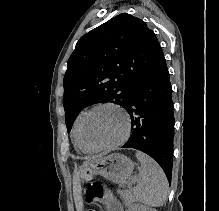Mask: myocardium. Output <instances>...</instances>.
Segmentation results:
<instances>
[{"label":"myocardium","mask_w":219,"mask_h":211,"mask_svg":"<svg viewBox=\"0 0 219 211\" xmlns=\"http://www.w3.org/2000/svg\"><path fill=\"white\" fill-rule=\"evenodd\" d=\"M101 107H111L114 108L116 110H118L124 117L125 119V127H124V131L122 136L115 142L109 143V144H104V145H91L85 138L84 135V124L85 121L88 117V115L93 112L94 110L101 108ZM130 127H131V117L129 115V113L120 105L113 103V102H102V103H98L95 104L94 106H92L91 108H89L87 111H85L81 117L80 123H79V137L81 142L88 147L91 150H107V149H113L118 147L119 145H121L122 143H124L128 136H129V132H130Z\"/></svg>","instance_id":"myocardium-1"}]
</instances>
